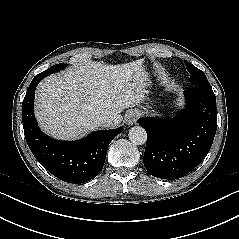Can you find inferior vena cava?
Segmentation results:
<instances>
[{
    "label": "inferior vena cava",
    "instance_id": "inferior-vena-cava-1",
    "mask_svg": "<svg viewBox=\"0 0 239 239\" xmlns=\"http://www.w3.org/2000/svg\"><path fill=\"white\" fill-rule=\"evenodd\" d=\"M97 123L99 126L106 127L112 123V118L105 115H100L97 117Z\"/></svg>",
    "mask_w": 239,
    "mask_h": 239
}]
</instances>
